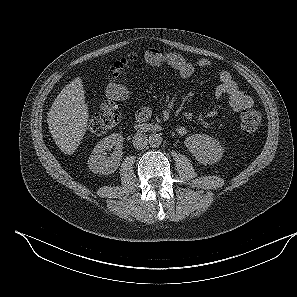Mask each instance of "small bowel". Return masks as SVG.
Wrapping results in <instances>:
<instances>
[{"instance_id": "small-bowel-1", "label": "small bowel", "mask_w": 297, "mask_h": 297, "mask_svg": "<svg viewBox=\"0 0 297 297\" xmlns=\"http://www.w3.org/2000/svg\"><path fill=\"white\" fill-rule=\"evenodd\" d=\"M144 59L147 64L158 67L166 65L176 71L181 77L188 78L192 76L197 68H206L211 66V61L207 58H201L195 63L187 61L181 55L174 52H166L157 48L149 49L144 54ZM219 84L215 89V97L217 99L226 96L228 106L236 111L246 110L253 105L252 98L242 92L237 83L233 80L228 71H222L219 75ZM132 95L131 89L122 84L109 83L106 86V96L108 101L104 103V108H111L118 110L119 103L128 100ZM217 113V108L213 107L208 116H214ZM152 115V109L144 106L138 109L135 113L137 121H146ZM179 135L187 134L186 127L179 125L176 128Z\"/></svg>"}]
</instances>
